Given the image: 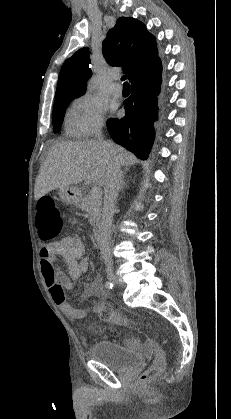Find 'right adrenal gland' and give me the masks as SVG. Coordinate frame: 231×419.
Wrapping results in <instances>:
<instances>
[{
  "instance_id": "obj_1",
  "label": "right adrenal gland",
  "mask_w": 231,
  "mask_h": 419,
  "mask_svg": "<svg viewBox=\"0 0 231 419\" xmlns=\"http://www.w3.org/2000/svg\"><path fill=\"white\" fill-rule=\"evenodd\" d=\"M125 175H126V172H124L123 174H122V177H121V181H120V190H123V188L127 185V183L124 181V178H125Z\"/></svg>"
}]
</instances>
